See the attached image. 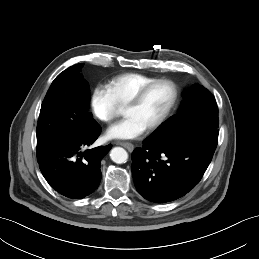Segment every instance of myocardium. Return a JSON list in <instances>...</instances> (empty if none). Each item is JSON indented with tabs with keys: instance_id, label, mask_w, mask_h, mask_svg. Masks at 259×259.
I'll return each mask as SVG.
<instances>
[{
	"instance_id": "1",
	"label": "myocardium",
	"mask_w": 259,
	"mask_h": 259,
	"mask_svg": "<svg viewBox=\"0 0 259 259\" xmlns=\"http://www.w3.org/2000/svg\"><path fill=\"white\" fill-rule=\"evenodd\" d=\"M162 83L167 84L171 87L172 98H171V101L168 104L167 108L165 109L164 113L161 115V117L158 120H156L153 124H151L150 126H148L146 128L147 132H152V131L158 129L159 127H161L165 123V121L168 119V117L170 116L172 111L174 110V108L177 104L178 98H179V89H178V86L176 85V83L170 79H165V78L156 79V80L146 84L142 88H140L132 97H130L128 99V101L124 105V108L134 107V106L138 105L152 87H154L157 84H162Z\"/></svg>"
}]
</instances>
